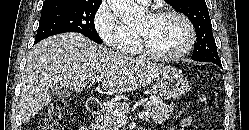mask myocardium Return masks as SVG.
Segmentation results:
<instances>
[{
    "instance_id": "obj_1",
    "label": "myocardium",
    "mask_w": 249,
    "mask_h": 130,
    "mask_svg": "<svg viewBox=\"0 0 249 130\" xmlns=\"http://www.w3.org/2000/svg\"><path fill=\"white\" fill-rule=\"evenodd\" d=\"M149 15L155 19L165 16H173L180 19L188 30V40L183 48L178 52L173 54H161L152 49L146 35L143 32L136 30L140 50L145 56L156 61L170 62L181 59L191 51L196 41V30L192 21L185 14L174 9H157L150 11Z\"/></svg>"
}]
</instances>
